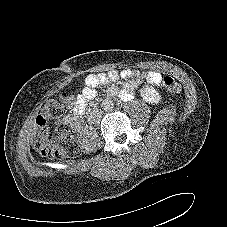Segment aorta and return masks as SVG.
Here are the masks:
<instances>
[{
    "label": "aorta",
    "mask_w": 227,
    "mask_h": 227,
    "mask_svg": "<svg viewBox=\"0 0 227 227\" xmlns=\"http://www.w3.org/2000/svg\"><path fill=\"white\" fill-rule=\"evenodd\" d=\"M101 107L104 111L109 112V111H112L114 107V103L110 99H107L102 102Z\"/></svg>",
    "instance_id": "1"
}]
</instances>
